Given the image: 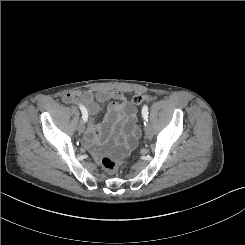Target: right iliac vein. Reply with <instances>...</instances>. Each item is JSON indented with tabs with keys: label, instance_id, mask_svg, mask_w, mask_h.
Here are the masks:
<instances>
[{
	"label": "right iliac vein",
	"instance_id": "obj_1",
	"mask_svg": "<svg viewBox=\"0 0 245 245\" xmlns=\"http://www.w3.org/2000/svg\"><path fill=\"white\" fill-rule=\"evenodd\" d=\"M84 130H85V122L82 120L78 125V132L81 134L84 132Z\"/></svg>",
	"mask_w": 245,
	"mask_h": 245
}]
</instances>
